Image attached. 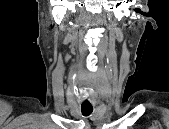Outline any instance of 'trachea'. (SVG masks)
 <instances>
[{
    "label": "trachea",
    "instance_id": "trachea-1",
    "mask_svg": "<svg viewBox=\"0 0 169 129\" xmlns=\"http://www.w3.org/2000/svg\"><path fill=\"white\" fill-rule=\"evenodd\" d=\"M81 111H82L83 116H89L93 112V107L82 105Z\"/></svg>",
    "mask_w": 169,
    "mask_h": 129
}]
</instances>
